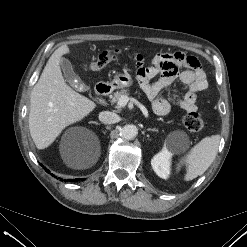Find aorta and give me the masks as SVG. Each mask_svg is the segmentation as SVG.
<instances>
[{"label": "aorta", "instance_id": "762f6f07", "mask_svg": "<svg viewBox=\"0 0 247 247\" xmlns=\"http://www.w3.org/2000/svg\"><path fill=\"white\" fill-rule=\"evenodd\" d=\"M138 134V129L135 125L128 124L121 128L120 135L126 140L134 139Z\"/></svg>", "mask_w": 247, "mask_h": 247}]
</instances>
